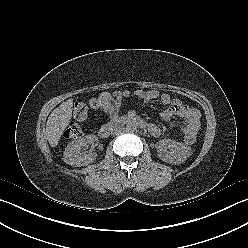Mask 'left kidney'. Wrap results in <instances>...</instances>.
Masks as SVG:
<instances>
[{
  "instance_id": "obj_1",
  "label": "left kidney",
  "mask_w": 248,
  "mask_h": 248,
  "mask_svg": "<svg viewBox=\"0 0 248 248\" xmlns=\"http://www.w3.org/2000/svg\"><path fill=\"white\" fill-rule=\"evenodd\" d=\"M159 158L169 164H181L192 155L190 146L173 139H162L157 143Z\"/></svg>"
}]
</instances>
